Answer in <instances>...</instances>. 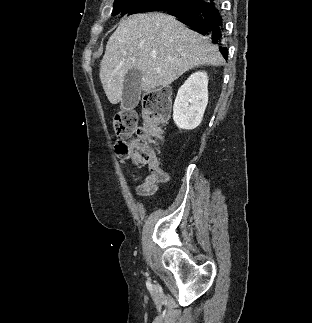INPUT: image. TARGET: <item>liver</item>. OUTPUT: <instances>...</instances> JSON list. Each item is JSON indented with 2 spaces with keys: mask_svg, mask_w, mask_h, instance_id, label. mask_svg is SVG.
I'll list each match as a JSON object with an SVG mask.
<instances>
[{
  "mask_svg": "<svg viewBox=\"0 0 312 323\" xmlns=\"http://www.w3.org/2000/svg\"><path fill=\"white\" fill-rule=\"evenodd\" d=\"M203 64H225L218 46L209 38L189 30L169 14H133L121 20L110 36L99 78L110 104H119L125 76L132 68L141 70V92L150 94Z\"/></svg>",
  "mask_w": 312,
  "mask_h": 323,
  "instance_id": "obj_1",
  "label": "liver"
}]
</instances>
